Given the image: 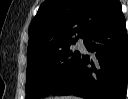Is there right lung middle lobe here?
Instances as JSON below:
<instances>
[{
  "label": "right lung middle lobe",
  "instance_id": "dd1d6c3e",
  "mask_svg": "<svg viewBox=\"0 0 128 99\" xmlns=\"http://www.w3.org/2000/svg\"><path fill=\"white\" fill-rule=\"evenodd\" d=\"M80 52L71 44L28 58L25 99H37L52 93L76 67Z\"/></svg>",
  "mask_w": 128,
  "mask_h": 99
}]
</instances>
